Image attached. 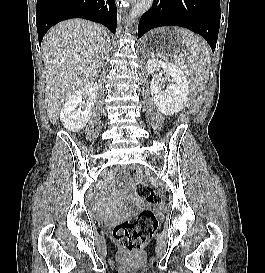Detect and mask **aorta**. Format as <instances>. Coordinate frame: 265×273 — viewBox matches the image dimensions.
Returning <instances> with one entry per match:
<instances>
[{"mask_svg":"<svg viewBox=\"0 0 265 273\" xmlns=\"http://www.w3.org/2000/svg\"><path fill=\"white\" fill-rule=\"evenodd\" d=\"M153 0H136L135 5L131 9L128 17V26L131 25L132 21L147 12L152 6Z\"/></svg>","mask_w":265,"mask_h":273,"instance_id":"obj_1","label":"aorta"}]
</instances>
